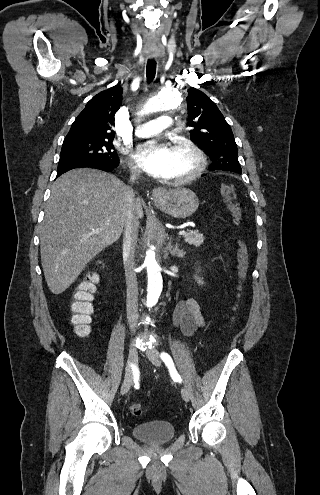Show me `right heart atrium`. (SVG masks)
Wrapping results in <instances>:
<instances>
[{
  "instance_id": "right-heart-atrium-1",
  "label": "right heart atrium",
  "mask_w": 320,
  "mask_h": 495,
  "mask_svg": "<svg viewBox=\"0 0 320 495\" xmlns=\"http://www.w3.org/2000/svg\"><path fill=\"white\" fill-rule=\"evenodd\" d=\"M130 171L133 175H139L141 173L140 168L135 164H130Z\"/></svg>"
}]
</instances>
